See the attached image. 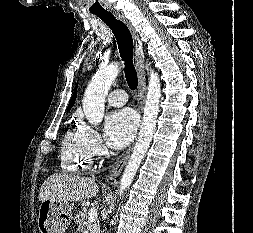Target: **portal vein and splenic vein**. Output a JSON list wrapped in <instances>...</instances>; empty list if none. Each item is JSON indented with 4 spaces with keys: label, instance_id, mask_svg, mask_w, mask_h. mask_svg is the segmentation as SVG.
Returning a JSON list of instances; mask_svg holds the SVG:
<instances>
[{
    "label": "portal vein and splenic vein",
    "instance_id": "18ae733b",
    "mask_svg": "<svg viewBox=\"0 0 253 233\" xmlns=\"http://www.w3.org/2000/svg\"><path fill=\"white\" fill-rule=\"evenodd\" d=\"M98 213L95 207H91L88 212V221L94 222L97 219Z\"/></svg>",
    "mask_w": 253,
    "mask_h": 233
}]
</instances>
